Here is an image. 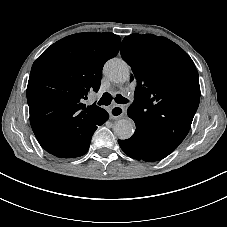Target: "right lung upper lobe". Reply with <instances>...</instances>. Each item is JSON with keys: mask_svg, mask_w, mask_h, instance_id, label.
<instances>
[{"mask_svg": "<svg viewBox=\"0 0 227 227\" xmlns=\"http://www.w3.org/2000/svg\"><path fill=\"white\" fill-rule=\"evenodd\" d=\"M120 37L111 32L78 33L46 49L34 62L27 86L30 123L42 147L67 151L81 127L97 129L108 113L83 104L97 92L104 63L117 55Z\"/></svg>", "mask_w": 227, "mask_h": 227, "instance_id": "obj_1", "label": "right lung upper lobe"}]
</instances>
